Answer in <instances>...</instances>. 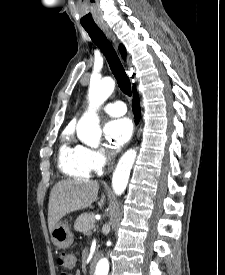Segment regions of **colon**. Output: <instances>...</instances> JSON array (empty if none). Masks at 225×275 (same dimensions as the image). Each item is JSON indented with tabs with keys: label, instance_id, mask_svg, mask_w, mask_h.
<instances>
[{
	"label": "colon",
	"instance_id": "5ec220e1",
	"mask_svg": "<svg viewBox=\"0 0 225 275\" xmlns=\"http://www.w3.org/2000/svg\"><path fill=\"white\" fill-rule=\"evenodd\" d=\"M75 262L76 256L72 252H60L57 256L58 265L66 269H72L75 266Z\"/></svg>",
	"mask_w": 225,
	"mask_h": 275
}]
</instances>
